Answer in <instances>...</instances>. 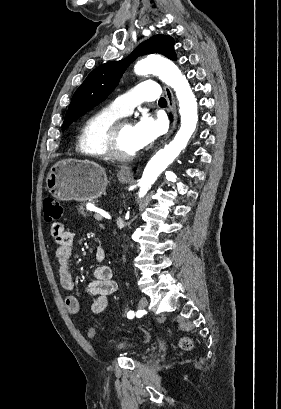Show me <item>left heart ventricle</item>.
<instances>
[{"mask_svg":"<svg viewBox=\"0 0 281 409\" xmlns=\"http://www.w3.org/2000/svg\"><path fill=\"white\" fill-rule=\"evenodd\" d=\"M116 147L123 153H131L139 150L135 142L133 125H124L120 128L116 137Z\"/></svg>","mask_w":281,"mask_h":409,"instance_id":"b2bd125f","label":"left heart ventricle"}]
</instances>
